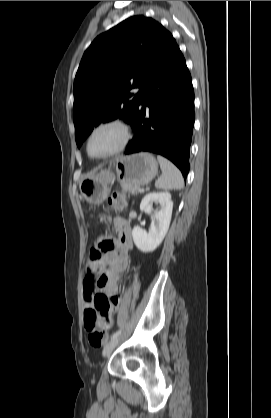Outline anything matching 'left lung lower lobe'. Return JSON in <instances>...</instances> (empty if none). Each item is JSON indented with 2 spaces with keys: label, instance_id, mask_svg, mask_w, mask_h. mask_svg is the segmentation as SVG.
I'll list each match as a JSON object with an SVG mask.
<instances>
[{
  "label": "left lung lower lobe",
  "instance_id": "1",
  "mask_svg": "<svg viewBox=\"0 0 271 418\" xmlns=\"http://www.w3.org/2000/svg\"><path fill=\"white\" fill-rule=\"evenodd\" d=\"M194 121L191 75L173 39L129 122L135 135L125 154L142 151L160 154L171 160L186 178Z\"/></svg>",
  "mask_w": 271,
  "mask_h": 418
}]
</instances>
